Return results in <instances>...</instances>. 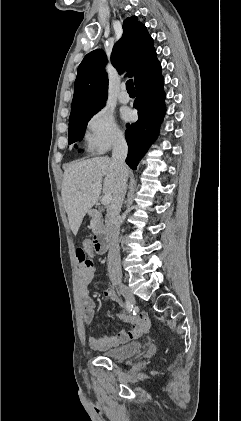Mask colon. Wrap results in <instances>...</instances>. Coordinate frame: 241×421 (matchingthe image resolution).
<instances>
[{"label": "colon", "mask_w": 241, "mask_h": 421, "mask_svg": "<svg viewBox=\"0 0 241 421\" xmlns=\"http://www.w3.org/2000/svg\"><path fill=\"white\" fill-rule=\"evenodd\" d=\"M95 250L93 241L86 240L82 243L80 247L77 248L76 254L82 263L91 265L93 264L91 260L92 251Z\"/></svg>", "instance_id": "1"}]
</instances>
